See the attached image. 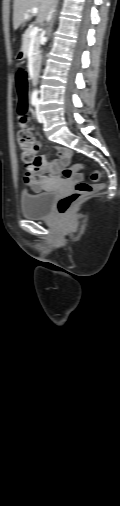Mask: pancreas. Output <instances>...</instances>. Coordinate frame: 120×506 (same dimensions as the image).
I'll list each match as a JSON object with an SVG mask.
<instances>
[{
    "label": "pancreas",
    "instance_id": "pancreas-1",
    "mask_svg": "<svg viewBox=\"0 0 120 506\" xmlns=\"http://www.w3.org/2000/svg\"><path fill=\"white\" fill-rule=\"evenodd\" d=\"M31 28H29L25 34L23 35V48L24 50L27 52L28 51V48H29V44H30V40H31V37H30V32H31ZM34 51H35V56L38 55L39 53V37H36L35 38V42H34Z\"/></svg>",
    "mask_w": 120,
    "mask_h": 506
}]
</instances>
